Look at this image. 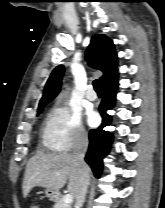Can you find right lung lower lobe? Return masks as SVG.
I'll use <instances>...</instances> for the list:
<instances>
[{
	"label": "right lung lower lobe",
	"instance_id": "98d812e1",
	"mask_svg": "<svg viewBox=\"0 0 165 208\" xmlns=\"http://www.w3.org/2000/svg\"><path fill=\"white\" fill-rule=\"evenodd\" d=\"M117 89V76L103 85L104 97L99 106V112L103 118L102 124L99 128L92 129L89 132L90 143L85 160L91 166L96 177L100 176L103 167V158L109 153L111 147L113 135L103 130V128L111 123V116L106 111L112 109L115 105Z\"/></svg>",
	"mask_w": 165,
	"mask_h": 208
}]
</instances>
